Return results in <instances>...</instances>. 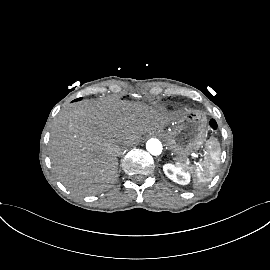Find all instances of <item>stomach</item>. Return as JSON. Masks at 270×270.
Segmentation results:
<instances>
[{
  "label": "stomach",
  "mask_w": 270,
  "mask_h": 270,
  "mask_svg": "<svg viewBox=\"0 0 270 270\" xmlns=\"http://www.w3.org/2000/svg\"><path fill=\"white\" fill-rule=\"evenodd\" d=\"M206 117L202 112L189 111L176 119L164 134L168 147L177 154L179 163L197 151L206 138Z\"/></svg>",
  "instance_id": "stomach-1"
}]
</instances>
